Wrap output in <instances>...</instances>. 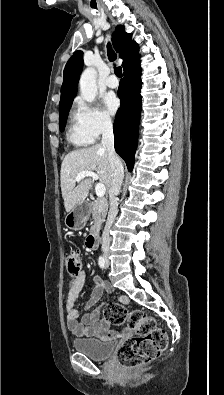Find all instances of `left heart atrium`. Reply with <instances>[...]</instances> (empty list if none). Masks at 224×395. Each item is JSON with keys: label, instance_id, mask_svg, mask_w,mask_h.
Masks as SVG:
<instances>
[{"label": "left heart atrium", "instance_id": "39dd6f15", "mask_svg": "<svg viewBox=\"0 0 224 395\" xmlns=\"http://www.w3.org/2000/svg\"><path fill=\"white\" fill-rule=\"evenodd\" d=\"M104 105L106 111L109 114L114 115L119 108V100L114 95L108 94L104 98Z\"/></svg>", "mask_w": 224, "mask_h": 395}]
</instances>
